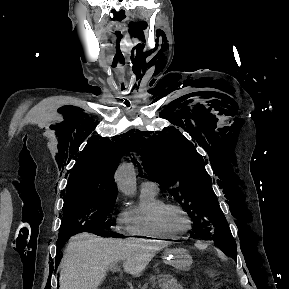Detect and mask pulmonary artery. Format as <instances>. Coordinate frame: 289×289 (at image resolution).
Instances as JSON below:
<instances>
[{
	"label": "pulmonary artery",
	"mask_w": 289,
	"mask_h": 289,
	"mask_svg": "<svg viewBox=\"0 0 289 289\" xmlns=\"http://www.w3.org/2000/svg\"><path fill=\"white\" fill-rule=\"evenodd\" d=\"M141 190L158 191V184L152 180H143L141 182Z\"/></svg>",
	"instance_id": "pulmonary-artery-1"
}]
</instances>
